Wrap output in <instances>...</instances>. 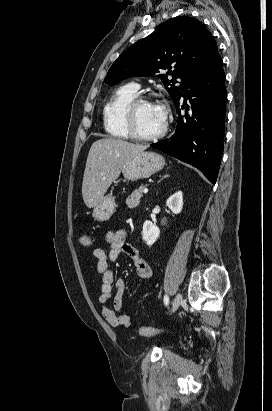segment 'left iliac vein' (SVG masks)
<instances>
[{
	"label": "left iliac vein",
	"mask_w": 272,
	"mask_h": 411,
	"mask_svg": "<svg viewBox=\"0 0 272 411\" xmlns=\"http://www.w3.org/2000/svg\"><path fill=\"white\" fill-rule=\"evenodd\" d=\"M182 301H183L182 294H181V293H178V294L175 296V298H174L173 305H172V309H171V313H174V312L178 309V307L180 306V304L182 303Z\"/></svg>",
	"instance_id": "1"
}]
</instances>
